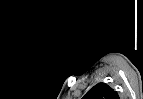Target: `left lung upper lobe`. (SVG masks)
I'll return each mask as SVG.
<instances>
[{"instance_id": "5c2ea615", "label": "left lung upper lobe", "mask_w": 143, "mask_h": 99, "mask_svg": "<svg viewBox=\"0 0 143 99\" xmlns=\"http://www.w3.org/2000/svg\"><path fill=\"white\" fill-rule=\"evenodd\" d=\"M83 99H119V96L109 85L98 83L85 94Z\"/></svg>"}]
</instances>
